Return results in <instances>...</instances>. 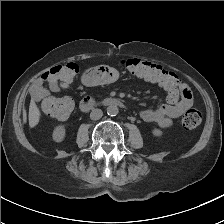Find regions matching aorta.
Masks as SVG:
<instances>
[{
	"label": "aorta",
	"mask_w": 224,
	"mask_h": 224,
	"mask_svg": "<svg viewBox=\"0 0 224 224\" xmlns=\"http://www.w3.org/2000/svg\"><path fill=\"white\" fill-rule=\"evenodd\" d=\"M107 114L110 116H116L118 114V107L116 105H109L107 107Z\"/></svg>",
	"instance_id": "obj_1"
}]
</instances>
